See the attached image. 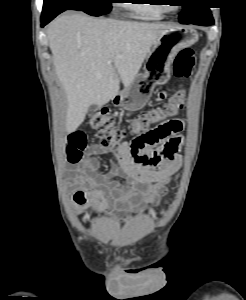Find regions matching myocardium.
<instances>
[{"label":"myocardium","instance_id":"obj_1","mask_svg":"<svg viewBox=\"0 0 246 300\" xmlns=\"http://www.w3.org/2000/svg\"><path fill=\"white\" fill-rule=\"evenodd\" d=\"M179 9L178 6H163V10L166 12H175Z\"/></svg>","mask_w":246,"mask_h":300}]
</instances>
